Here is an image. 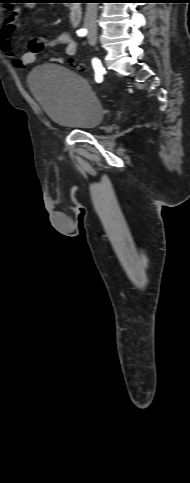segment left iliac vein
Masks as SVG:
<instances>
[{
  "label": "left iliac vein",
  "instance_id": "4c4485c4",
  "mask_svg": "<svg viewBox=\"0 0 190 483\" xmlns=\"http://www.w3.org/2000/svg\"><path fill=\"white\" fill-rule=\"evenodd\" d=\"M89 42L91 45H95L96 44V36L93 34V35H89Z\"/></svg>",
  "mask_w": 190,
  "mask_h": 483
}]
</instances>
